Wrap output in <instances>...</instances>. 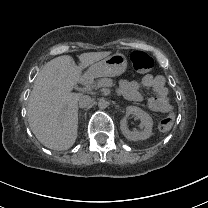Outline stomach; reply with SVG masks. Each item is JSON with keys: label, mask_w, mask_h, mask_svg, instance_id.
Here are the masks:
<instances>
[{"label": "stomach", "mask_w": 208, "mask_h": 208, "mask_svg": "<svg viewBox=\"0 0 208 208\" xmlns=\"http://www.w3.org/2000/svg\"><path fill=\"white\" fill-rule=\"evenodd\" d=\"M127 68V59L121 53H115L107 56L101 61L92 64L86 76L96 77H114L119 76L125 72Z\"/></svg>", "instance_id": "stomach-1"}]
</instances>
